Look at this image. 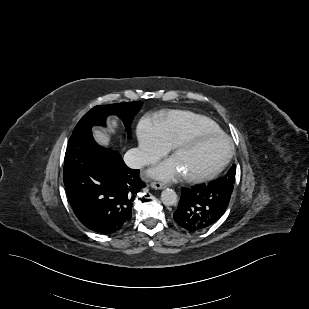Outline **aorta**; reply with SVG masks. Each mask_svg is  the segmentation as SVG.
<instances>
[{
  "instance_id": "aorta-1",
  "label": "aorta",
  "mask_w": 309,
  "mask_h": 309,
  "mask_svg": "<svg viewBox=\"0 0 309 309\" xmlns=\"http://www.w3.org/2000/svg\"><path fill=\"white\" fill-rule=\"evenodd\" d=\"M161 201L165 206H173L177 202V194L172 189H165L161 193Z\"/></svg>"
}]
</instances>
